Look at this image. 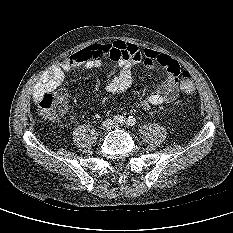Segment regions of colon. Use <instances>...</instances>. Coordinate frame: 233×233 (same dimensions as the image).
<instances>
[{
	"label": "colon",
	"instance_id": "obj_1",
	"mask_svg": "<svg viewBox=\"0 0 233 233\" xmlns=\"http://www.w3.org/2000/svg\"><path fill=\"white\" fill-rule=\"evenodd\" d=\"M180 87L186 94H192L195 91L193 79L187 71H183L180 76ZM35 101L42 114L48 118L61 116L66 107V97L63 92H45L35 98Z\"/></svg>",
	"mask_w": 233,
	"mask_h": 233
}]
</instances>
